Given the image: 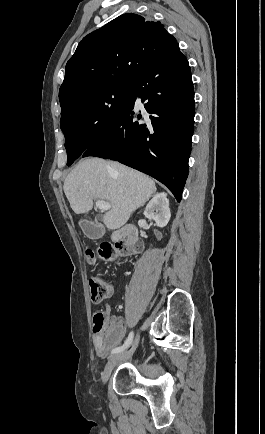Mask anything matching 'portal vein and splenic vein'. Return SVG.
I'll return each mask as SVG.
<instances>
[{"label":"portal vein and splenic vein","mask_w":265,"mask_h":434,"mask_svg":"<svg viewBox=\"0 0 265 434\" xmlns=\"http://www.w3.org/2000/svg\"><path fill=\"white\" fill-rule=\"evenodd\" d=\"M96 208H99V210H102V212H106V210H110L111 204H109V202H105V200H97Z\"/></svg>","instance_id":"1"}]
</instances>
